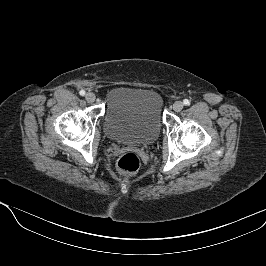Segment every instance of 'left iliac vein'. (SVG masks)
<instances>
[{
  "label": "left iliac vein",
  "instance_id": "4c4485c4",
  "mask_svg": "<svg viewBox=\"0 0 266 266\" xmlns=\"http://www.w3.org/2000/svg\"><path fill=\"white\" fill-rule=\"evenodd\" d=\"M183 107H184V104L181 101H176L173 104V110L176 112H180L183 109Z\"/></svg>",
  "mask_w": 266,
  "mask_h": 266
}]
</instances>
